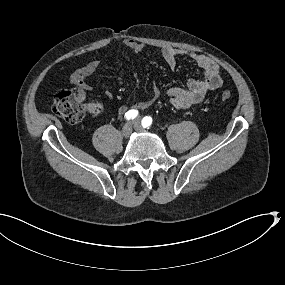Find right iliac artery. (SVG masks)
I'll use <instances>...</instances> for the list:
<instances>
[{
	"label": "right iliac artery",
	"mask_w": 285,
	"mask_h": 285,
	"mask_svg": "<svg viewBox=\"0 0 285 285\" xmlns=\"http://www.w3.org/2000/svg\"><path fill=\"white\" fill-rule=\"evenodd\" d=\"M138 111L137 110H129L128 112L125 113V117L127 120L134 119L137 117Z\"/></svg>",
	"instance_id": "right-iliac-artery-1"
}]
</instances>
